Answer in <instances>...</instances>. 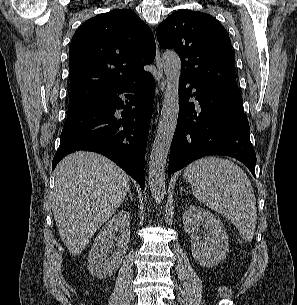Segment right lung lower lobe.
I'll list each match as a JSON object with an SVG mask.
<instances>
[{"label": "right lung lower lobe", "mask_w": 297, "mask_h": 305, "mask_svg": "<svg viewBox=\"0 0 297 305\" xmlns=\"http://www.w3.org/2000/svg\"><path fill=\"white\" fill-rule=\"evenodd\" d=\"M155 81L147 73L106 91L83 109L68 115L52 169L67 154L100 153L145 185L144 161L153 111ZM122 109V112H118Z\"/></svg>", "instance_id": "1"}]
</instances>
